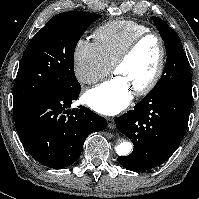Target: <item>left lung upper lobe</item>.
I'll return each instance as SVG.
<instances>
[{
  "instance_id": "1",
  "label": "left lung upper lobe",
  "mask_w": 199,
  "mask_h": 199,
  "mask_svg": "<svg viewBox=\"0 0 199 199\" xmlns=\"http://www.w3.org/2000/svg\"><path fill=\"white\" fill-rule=\"evenodd\" d=\"M164 41L167 62L164 73L156 86L145 96L159 97L174 90H192L191 67L177 33L158 17H152Z\"/></svg>"
}]
</instances>
